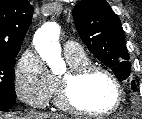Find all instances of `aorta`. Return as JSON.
<instances>
[{
    "label": "aorta",
    "instance_id": "aorta-1",
    "mask_svg": "<svg viewBox=\"0 0 142 119\" xmlns=\"http://www.w3.org/2000/svg\"><path fill=\"white\" fill-rule=\"evenodd\" d=\"M60 27L55 22L43 24L35 33L33 43L40 57L47 62L49 68L58 73L65 67L58 42Z\"/></svg>",
    "mask_w": 142,
    "mask_h": 119
}]
</instances>
